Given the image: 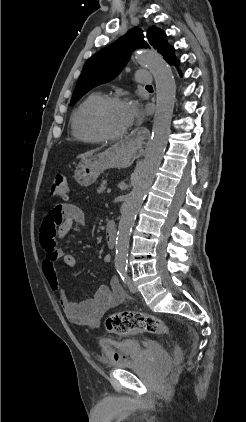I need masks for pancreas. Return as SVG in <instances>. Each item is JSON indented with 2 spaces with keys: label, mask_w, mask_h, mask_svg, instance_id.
Segmentation results:
<instances>
[{
  "label": "pancreas",
  "mask_w": 246,
  "mask_h": 422,
  "mask_svg": "<svg viewBox=\"0 0 246 422\" xmlns=\"http://www.w3.org/2000/svg\"><path fill=\"white\" fill-rule=\"evenodd\" d=\"M107 180H103L100 187L97 189V193H103L106 189Z\"/></svg>",
  "instance_id": "cf45deb5"
}]
</instances>
